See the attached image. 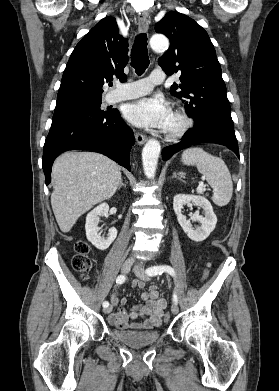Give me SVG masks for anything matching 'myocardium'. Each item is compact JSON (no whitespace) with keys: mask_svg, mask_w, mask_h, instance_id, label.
<instances>
[{"mask_svg":"<svg viewBox=\"0 0 279 391\" xmlns=\"http://www.w3.org/2000/svg\"><path fill=\"white\" fill-rule=\"evenodd\" d=\"M172 116L178 121V125L165 132L166 138L171 141L183 137L192 126V120L184 110L175 109L172 112Z\"/></svg>","mask_w":279,"mask_h":391,"instance_id":"f54148a6","label":"myocardium"}]
</instances>
